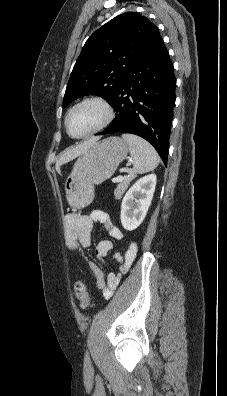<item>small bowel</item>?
Instances as JSON below:
<instances>
[{"label": "small bowel", "instance_id": "1", "mask_svg": "<svg viewBox=\"0 0 227 396\" xmlns=\"http://www.w3.org/2000/svg\"><path fill=\"white\" fill-rule=\"evenodd\" d=\"M97 222L103 226L108 235L115 239L123 238L122 232L111 222L107 213L101 210H94L89 215L70 214L66 217V236L65 243L71 250H78L82 247H88L91 244V233L94 223ZM138 246L136 242L130 243L124 256L115 253L114 256L119 262V272L104 275L103 272L93 263H89V268L95 278L98 288L102 295L109 298L119 285L121 275L127 271L133 262ZM113 251V244L110 240H102L95 249L96 258L104 263V258Z\"/></svg>", "mask_w": 227, "mask_h": 396}]
</instances>
